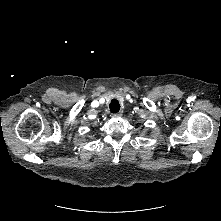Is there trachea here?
I'll use <instances>...</instances> for the list:
<instances>
[{"mask_svg": "<svg viewBox=\"0 0 221 221\" xmlns=\"http://www.w3.org/2000/svg\"><path fill=\"white\" fill-rule=\"evenodd\" d=\"M109 108L112 113H117L120 110V104L118 100L112 99L109 104Z\"/></svg>", "mask_w": 221, "mask_h": 221, "instance_id": "trachea-1", "label": "trachea"}]
</instances>
